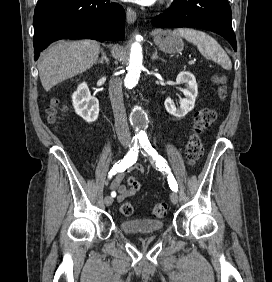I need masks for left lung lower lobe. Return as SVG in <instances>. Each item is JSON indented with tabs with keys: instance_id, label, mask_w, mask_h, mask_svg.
I'll list each match as a JSON object with an SVG mask.
<instances>
[{
	"instance_id": "0a47b994",
	"label": "left lung lower lobe",
	"mask_w": 272,
	"mask_h": 282,
	"mask_svg": "<svg viewBox=\"0 0 272 282\" xmlns=\"http://www.w3.org/2000/svg\"><path fill=\"white\" fill-rule=\"evenodd\" d=\"M231 17L227 0H174L171 8L151 23L159 28L193 27L213 31L229 41L236 51Z\"/></svg>"
}]
</instances>
